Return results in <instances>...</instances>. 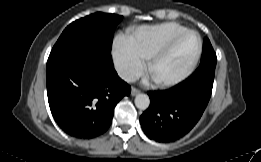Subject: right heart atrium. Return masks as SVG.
<instances>
[{
  "mask_svg": "<svg viewBox=\"0 0 261 162\" xmlns=\"http://www.w3.org/2000/svg\"><path fill=\"white\" fill-rule=\"evenodd\" d=\"M112 57L117 72L126 81L136 79L144 71V59L133 49L128 37L116 39Z\"/></svg>",
  "mask_w": 261,
  "mask_h": 162,
  "instance_id": "d8ad5b80",
  "label": "right heart atrium"
}]
</instances>
